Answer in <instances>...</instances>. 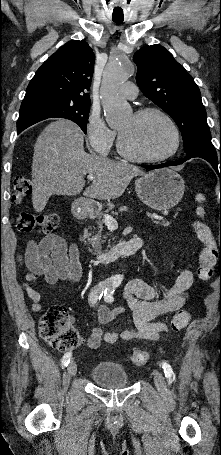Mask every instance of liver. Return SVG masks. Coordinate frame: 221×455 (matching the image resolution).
<instances>
[{"mask_svg":"<svg viewBox=\"0 0 221 455\" xmlns=\"http://www.w3.org/2000/svg\"><path fill=\"white\" fill-rule=\"evenodd\" d=\"M95 179L83 193L92 199L120 197L131 180L144 172L128 163L88 154L80 128L66 119L47 125L36 140L32 162V203L36 212L44 210L49 198L76 196L85 186V175Z\"/></svg>","mask_w":221,"mask_h":455,"instance_id":"obj_1","label":"liver"}]
</instances>
